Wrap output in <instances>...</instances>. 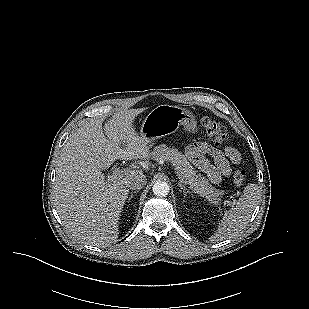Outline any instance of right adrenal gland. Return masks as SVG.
Wrapping results in <instances>:
<instances>
[{
	"label": "right adrenal gland",
	"mask_w": 309,
	"mask_h": 309,
	"mask_svg": "<svg viewBox=\"0 0 309 309\" xmlns=\"http://www.w3.org/2000/svg\"><path fill=\"white\" fill-rule=\"evenodd\" d=\"M138 191H139V189H136V190L132 191V192L130 193V196H129L127 202H130V200L133 198L134 194L137 193Z\"/></svg>",
	"instance_id": "1"
}]
</instances>
